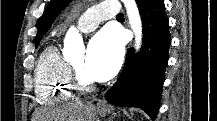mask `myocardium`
I'll list each match as a JSON object with an SVG mask.
<instances>
[{
    "instance_id": "f54148a6",
    "label": "myocardium",
    "mask_w": 217,
    "mask_h": 121,
    "mask_svg": "<svg viewBox=\"0 0 217 121\" xmlns=\"http://www.w3.org/2000/svg\"><path fill=\"white\" fill-rule=\"evenodd\" d=\"M69 81L73 90L87 93L94 89L95 83L85 78L72 64L69 65Z\"/></svg>"
}]
</instances>
